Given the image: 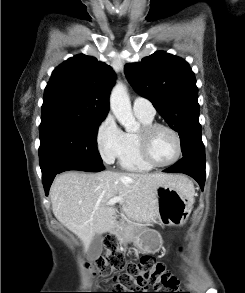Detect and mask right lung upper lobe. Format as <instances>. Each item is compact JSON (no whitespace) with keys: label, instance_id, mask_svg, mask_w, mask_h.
<instances>
[{"label":"right lung upper lobe","instance_id":"right-lung-upper-lobe-1","mask_svg":"<svg viewBox=\"0 0 245 293\" xmlns=\"http://www.w3.org/2000/svg\"><path fill=\"white\" fill-rule=\"evenodd\" d=\"M115 83L111 67L96 58L76 55L59 65L48 82L42 115L63 113L104 119Z\"/></svg>","mask_w":245,"mask_h":293}]
</instances>
